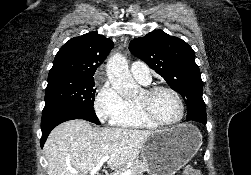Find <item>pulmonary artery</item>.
Wrapping results in <instances>:
<instances>
[{"instance_id":"1","label":"pulmonary artery","mask_w":251,"mask_h":175,"mask_svg":"<svg viewBox=\"0 0 251 175\" xmlns=\"http://www.w3.org/2000/svg\"><path fill=\"white\" fill-rule=\"evenodd\" d=\"M130 71L134 79L144 85H148L152 81V75L150 69L147 67V62H132Z\"/></svg>"}]
</instances>
